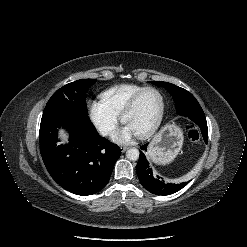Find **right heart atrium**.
I'll return each mask as SVG.
<instances>
[{"instance_id": "d8ad5b80", "label": "right heart atrium", "mask_w": 247, "mask_h": 247, "mask_svg": "<svg viewBox=\"0 0 247 247\" xmlns=\"http://www.w3.org/2000/svg\"><path fill=\"white\" fill-rule=\"evenodd\" d=\"M88 116L94 127L103 136L110 135L119 121V115L100 100H92L88 103Z\"/></svg>"}]
</instances>
